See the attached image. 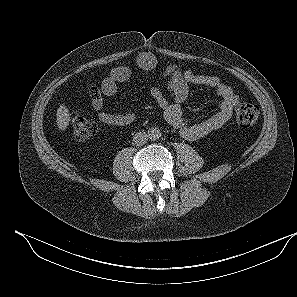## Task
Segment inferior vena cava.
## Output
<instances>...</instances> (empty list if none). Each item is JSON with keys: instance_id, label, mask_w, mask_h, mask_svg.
<instances>
[{"instance_id": "obj_1", "label": "inferior vena cava", "mask_w": 297, "mask_h": 297, "mask_svg": "<svg viewBox=\"0 0 297 297\" xmlns=\"http://www.w3.org/2000/svg\"><path fill=\"white\" fill-rule=\"evenodd\" d=\"M149 139V136L146 132L140 131L135 133L133 136V142L136 146H143Z\"/></svg>"}]
</instances>
